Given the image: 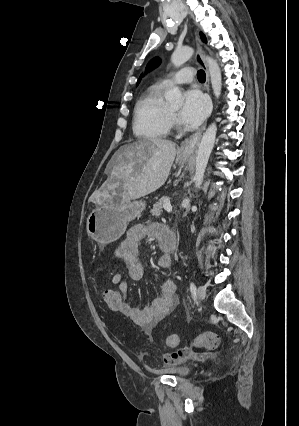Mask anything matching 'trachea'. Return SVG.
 <instances>
[{
	"mask_svg": "<svg viewBox=\"0 0 299 426\" xmlns=\"http://www.w3.org/2000/svg\"><path fill=\"white\" fill-rule=\"evenodd\" d=\"M205 79H206L205 72H204L203 70H199V71H198V80H199L200 82H204V81H205Z\"/></svg>",
	"mask_w": 299,
	"mask_h": 426,
	"instance_id": "trachea-1",
	"label": "trachea"
}]
</instances>
